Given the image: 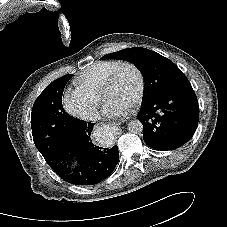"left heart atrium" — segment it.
I'll return each instance as SVG.
<instances>
[{
	"instance_id": "1",
	"label": "left heart atrium",
	"mask_w": 227,
	"mask_h": 227,
	"mask_svg": "<svg viewBox=\"0 0 227 227\" xmlns=\"http://www.w3.org/2000/svg\"><path fill=\"white\" fill-rule=\"evenodd\" d=\"M132 107V103L121 101H106L104 106V115L109 119H117L125 116Z\"/></svg>"
}]
</instances>
